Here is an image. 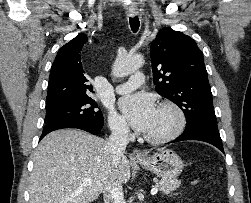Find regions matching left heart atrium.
<instances>
[{
    "label": "left heart atrium",
    "instance_id": "1",
    "mask_svg": "<svg viewBox=\"0 0 251 203\" xmlns=\"http://www.w3.org/2000/svg\"><path fill=\"white\" fill-rule=\"evenodd\" d=\"M120 108L131 126L140 132H146L150 128L157 111L153 98L146 93L123 97Z\"/></svg>",
    "mask_w": 251,
    "mask_h": 203
}]
</instances>
